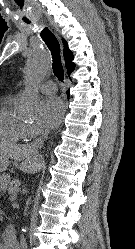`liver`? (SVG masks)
<instances>
[{
  "label": "liver",
  "instance_id": "6515ba94",
  "mask_svg": "<svg viewBox=\"0 0 135 249\" xmlns=\"http://www.w3.org/2000/svg\"><path fill=\"white\" fill-rule=\"evenodd\" d=\"M0 155L21 162L19 168L27 174L36 173L43 164L42 157L34 153L31 145L0 142Z\"/></svg>",
  "mask_w": 135,
  "mask_h": 249
}]
</instances>
